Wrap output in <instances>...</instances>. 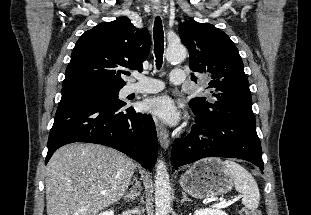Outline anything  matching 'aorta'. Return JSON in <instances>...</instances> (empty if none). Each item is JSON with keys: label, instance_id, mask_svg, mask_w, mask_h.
Segmentation results:
<instances>
[{"label": "aorta", "instance_id": "762f6f07", "mask_svg": "<svg viewBox=\"0 0 311 215\" xmlns=\"http://www.w3.org/2000/svg\"><path fill=\"white\" fill-rule=\"evenodd\" d=\"M187 50L183 45L170 46L166 50V60L180 62L186 57ZM155 213L156 215H169L171 210V186L167 167L164 161L158 160L155 176Z\"/></svg>", "mask_w": 311, "mask_h": 215}]
</instances>
